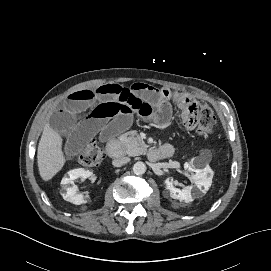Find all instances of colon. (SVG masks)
I'll return each instance as SVG.
<instances>
[{"mask_svg":"<svg viewBox=\"0 0 271 271\" xmlns=\"http://www.w3.org/2000/svg\"><path fill=\"white\" fill-rule=\"evenodd\" d=\"M182 122L188 129H194L203 138L213 131L215 116L212 108L204 101L183 94L180 99ZM103 160V152L98 143L91 140L79 155L78 162L85 167L98 166Z\"/></svg>","mask_w":271,"mask_h":271,"instance_id":"colon-1","label":"colon"}]
</instances>
